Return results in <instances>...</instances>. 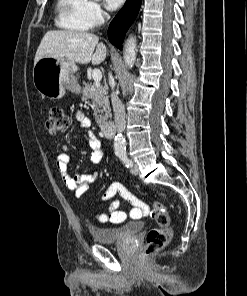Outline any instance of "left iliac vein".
Segmentation results:
<instances>
[{
	"mask_svg": "<svg viewBox=\"0 0 247 296\" xmlns=\"http://www.w3.org/2000/svg\"><path fill=\"white\" fill-rule=\"evenodd\" d=\"M130 172L133 174V175H137L138 172H139V169H138V166L137 165H133L130 169Z\"/></svg>",
	"mask_w": 247,
	"mask_h": 296,
	"instance_id": "4c4485c4",
	"label": "left iliac vein"
}]
</instances>
